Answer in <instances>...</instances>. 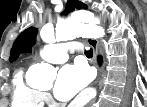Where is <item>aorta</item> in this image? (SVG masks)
I'll return each instance as SVG.
<instances>
[{"label":"aorta","mask_w":147,"mask_h":107,"mask_svg":"<svg viewBox=\"0 0 147 107\" xmlns=\"http://www.w3.org/2000/svg\"><path fill=\"white\" fill-rule=\"evenodd\" d=\"M104 29L95 25L90 20H83L81 17L72 18L68 21L58 22L56 25L55 36L57 41L71 40L76 37L99 38L104 36ZM41 38L48 40L49 33L47 29L41 31ZM56 76V70L53 66L41 63L31 66L29 71V83L31 85L42 86L48 84ZM93 93L94 91L91 90Z\"/></svg>","instance_id":"762f6f07"}]
</instances>
